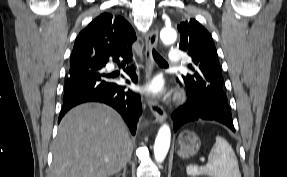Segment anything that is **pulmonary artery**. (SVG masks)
I'll use <instances>...</instances> for the list:
<instances>
[{
	"mask_svg": "<svg viewBox=\"0 0 287 177\" xmlns=\"http://www.w3.org/2000/svg\"><path fill=\"white\" fill-rule=\"evenodd\" d=\"M180 53H181L180 49H178V48L172 49L169 53L167 64L169 66L180 65Z\"/></svg>",
	"mask_w": 287,
	"mask_h": 177,
	"instance_id": "pulmonary-artery-1",
	"label": "pulmonary artery"
}]
</instances>
